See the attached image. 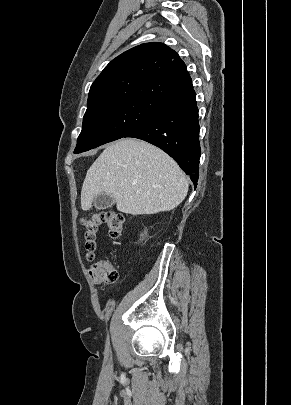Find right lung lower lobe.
I'll return each instance as SVG.
<instances>
[{"mask_svg": "<svg viewBox=\"0 0 291 405\" xmlns=\"http://www.w3.org/2000/svg\"><path fill=\"white\" fill-rule=\"evenodd\" d=\"M199 129L196 94L192 87L169 99L148 122L125 137L142 139L165 151L196 187L201 150Z\"/></svg>", "mask_w": 291, "mask_h": 405, "instance_id": "98d812e1", "label": "right lung lower lobe"}]
</instances>
